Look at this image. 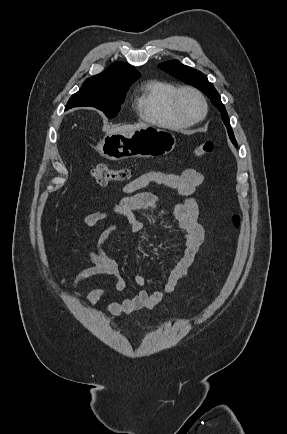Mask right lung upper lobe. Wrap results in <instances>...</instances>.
Listing matches in <instances>:
<instances>
[{
    "label": "right lung upper lobe",
    "mask_w": 287,
    "mask_h": 434,
    "mask_svg": "<svg viewBox=\"0 0 287 434\" xmlns=\"http://www.w3.org/2000/svg\"><path fill=\"white\" fill-rule=\"evenodd\" d=\"M140 77V73L131 65L124 62H117L109 66L108 69L87 80H107L110 82H131Z\"/></svg>",
    "instance_id": "obj_1"
}]
</instances>
